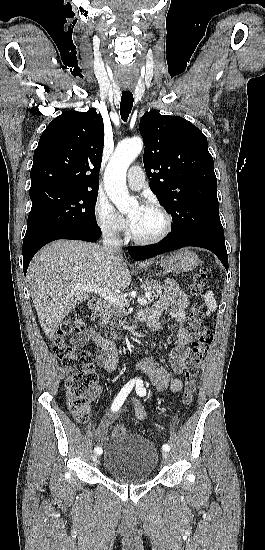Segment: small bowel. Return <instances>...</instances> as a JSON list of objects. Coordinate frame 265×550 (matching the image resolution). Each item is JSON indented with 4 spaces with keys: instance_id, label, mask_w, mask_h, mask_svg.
Returning <instances> with one entry per match:
<instances>
[{
    "instance_id": "1",
    "label": "small bowel",
    "mask_w": 265,
    "mask_h": 550,
    "mask_svg": "<svg viewBox=\"0 0 265 550\" xmlns=\"http://www.w3.org/2000/svg\"><path fill=\"white\" fill-rule=\"evenodd\" d=\"M188 304L186 294L177 286V284L168 280L165 283L163 295L152 306L141 310L138 317L143 320L147 327L153 332H159L162 329L161 317L165 311L170 312L174 320L175 338L174 348L169 356L172 371L181 375L183 373L185 362L190 354V343L192 336L185 326V308ZM74 344L78 347L94 344L100 352L97 356L98 363L108 372H113L118 368L119 356L112 341L97 334L94 329L89 328L84 333L73 338ZM137 369L144 374L156 392H160L168 386L173 392L182 390V380L180 378H171L170 371L161 365L153 357H145L138 365ZM135 415L139 420H145L146 411L142 404L134 399ZM118 417L117 411L108 412L99 421L96 430L97 441H103L108 425Z\"/></svg>"
}]
</instances>
